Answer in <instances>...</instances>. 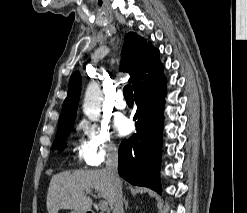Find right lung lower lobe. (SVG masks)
<instances>
[{"mask_svg":"<svg viewBox=\"0 0 247 213\" xmlns=\"http://www.w3.org/2000/svg\"><path fill=\"white\" fill-rule=\"evenodd\" d=\"M166 78L163 70L134 89L137 132L119 147L118 172L129 183L162 191L161 162Z\"/></svg>","mask_w":247,"mask_h":213,"instance_id":"98d812e1","label":"right lung lower lobe"}]
</instances>
